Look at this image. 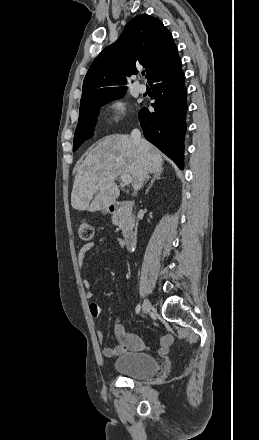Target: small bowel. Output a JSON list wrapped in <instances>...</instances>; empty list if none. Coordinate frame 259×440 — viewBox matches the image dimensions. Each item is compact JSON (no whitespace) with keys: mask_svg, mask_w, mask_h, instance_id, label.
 Returning a JSON list of instances; mask_svg holds the SVG:
<instances>
[{"mask_svg":"<svg viewBox=\"0 0 259 440\" xmlns=\"http://www.w3.org/2000/svg\"><path fill=\"white\" fill-rule=\"evenodd\" d=\"M104 241H106V239L103 238V239H100L99 241L86 243L83 246H81V248L78 251V255H77L78 266L81 271L83 270L87 253L93 247L103 243ZM113 241L120 247H123L125 244L124 240L119 237L113 238ZM82 283H83V286L86 291L85 292L86 297L88 299L92 298L94 296V293L91 290L90 282L85 277H83ZM89 312L93 317H98L101 313V308L97 303L92 302L89 304ZM115 333H116V336L118 339V345L115 347L105 348L103 350V354L106 357H112L114 355L125 352L127 350H143L146 348L143 340L138 335L125 332L123 330L122 326L119 324L116 325ZM96 336H97V340L100 343L104 342L105 335L102 331H97ZM172 342H173L172 335L167 334V335L163 336L159 341L158 352L159 353H166L169 346L172 344Z\"/></svg>","mask_w":259,"mask_h":440,"instance_id":"c3829d8e","label":"small bowel"}]
</instances>
